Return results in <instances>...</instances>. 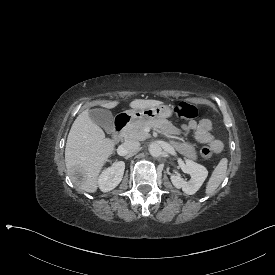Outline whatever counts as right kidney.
I'll return each mask as SVG.
<instances>
[{
	"mask_svg": "<svg viewBox=\"0 0 275 275\" xmlns=\"http://www.w3.org/2000/svg\"><path fill=\"white\" fill-rule=\"evenodd\" d=\"M125 170L123 161L115 162L105 169L98 179V185L102 192L113 190L122 180Z\"/></svg>",
	"mask_w": 275,
	"mask_h": 275,
	"instance_id": "right-kidney-1",
	"label": "right kidney"
}]
</instances>
